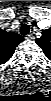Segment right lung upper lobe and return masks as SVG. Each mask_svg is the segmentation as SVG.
<instances>
[{
    "label": "right lung upper lobe",
    "instance_id": "cb5924a9",
    "mask_svg": "<svg viewBox=\"0 0 51 101\" xmlns=\"http://www.w3.org/2000/svg\"><path fill=\"white\" fill-rule=\"evenodd\" d=\"M24 39L17 33L0 29V64L7 62Z\"/></svg>",
    "mask_w": 51,
    "mask_h": 101
}]
</instances>
